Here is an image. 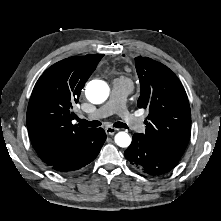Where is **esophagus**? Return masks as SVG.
Segmentation results:
<instances>
[{
    "instance_id": "34e87169",
    "label": "esophagus",
    "mask_w": 221,
    "mask_h": 221,
    "mask_svg": "<svg viewBox=\"0 0 221 221\" xmlns=\"http://www.w3.org/2000/svg\"><path fill=\"white\" fill-rule=\"evenodd\" d=\"M116 131H117V129L113 128V127L105 128V132H106L107 135H114Z\"/></svg>"
}]
</instances>
